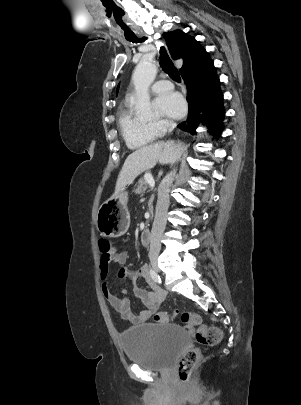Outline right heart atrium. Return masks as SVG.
Masks as SVG:
<instances>
[{
  "label": "right heart atrium",
  "instance_id": "1",
  "mask_svg": "<svg viewBox=\"0 0 301 405\" xmlns=\"http://www.w3.org/2000/svg\"><path fill=\"white\" fill-rule=\"evenodd\" d=\"M168 126H169L168 121L164 119L154 121L150 124V127L152 128V130L156 135L163 133Z\"/></svg>",
  "mask_w": 301,
  "mask_h": 405
}]
</instances>
